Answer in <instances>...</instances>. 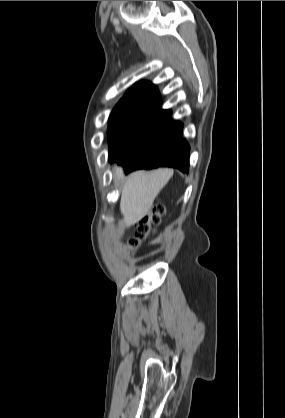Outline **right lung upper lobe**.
<instances>
[{
	"label": "right lung upper lobe",
	"mask_w": 285,
	"mask_h": 418,
	"mask_svg": "<svg viewBox=\"0 0 285 418\" xmlns=\"http://www.w3.org/2000/svg\"><path fill=\"white\" fill-rule=\"evenodd\" d=\"M119 104H142L160 108V94L151 82H140L133 86Z\"/></svg>",
	"instance_id": "right-lung-upper-lobe-1"
}]
</instances>
